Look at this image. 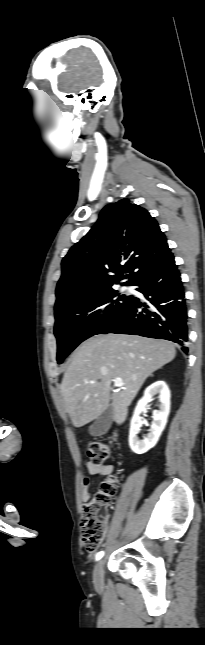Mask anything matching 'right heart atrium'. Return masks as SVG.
I'll return each mask as SVG.
<instances>
[{"instance_id":"right-heart-atrium-1","label":"right heart atrium","mask_w":205,"mask_h":645,"mask_svg":"<svg viewBox=\"0 0 205 645\" xmlns=\"http://www.w3.org/2000/svg\"><path fill=\"white\" fill-rule=\"evenodd\" d=\"M90 314L95 320L103 322L109 317V309L106 304L97 303L91 308Z\"/></svg>"}]
</instances>
